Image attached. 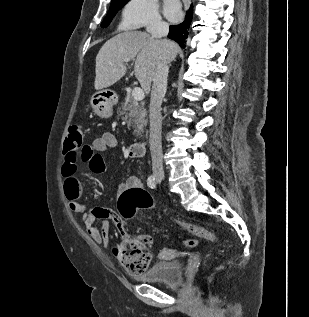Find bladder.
<instances>
[{
  "label": "bladder",
  "mask_w": 309,
  "mask_h": 317,
  "mask_svg": "<svg viewBox=\"0 0 309 317\" xmlns=\"http://www.w3.org/2000/svg\"><path fill=\"white\" fill-rule=\"evenodd\" d=\"M137 280L145 283H159L174 287L183 280V264L180 260H162L153 264Z\"/></svg>",
  "instance_id": "1"
}]
</instances>
